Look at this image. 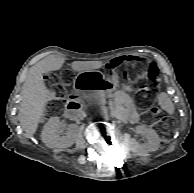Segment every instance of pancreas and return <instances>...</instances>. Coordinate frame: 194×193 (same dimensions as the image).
Instances as JSON below:
<instances>
[{
  "instance_id": "cf45deb5",
  "label": "pancreas",
  "mask_w": 194,
  "mask_h": 193,
  "mask_svg": "<svg viewBox=\"0 0 194 193\" xmlns=\"http://www.w3.org/2000/svg\"><path fill=\"white\" fill-rule=\"evenodd\" d=\"M99 95H100V97H96V98H95V101H96L97 103H100V104H103V103L105 102V99H106L107 101H110V100L113 99V96H112V95H105V94H99Z\"/></svg>"
}]
</instances>
